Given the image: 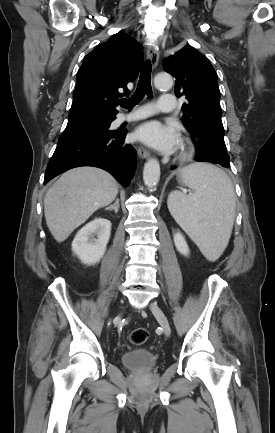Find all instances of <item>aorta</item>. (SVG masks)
Wrapping results in <instances>:
<instances>
[{"label":"aorta","instance_id":"aorta-1","mask_svg":"<svg viewBox=\"0 0 275 433\" xmlns=\"http://www.w3.org/2000/svg\"><path fill=\"white\" fill-rule=\"evenodd\" d=\"M155 87L158 89H170L173 86L172 76L169 74H158L154 78ZM143 180L148 188L157 186L160 180V164L157 159H149L143 170Z\"/></svg>","mask_w":275,"mask_h":433}]
</instances>
